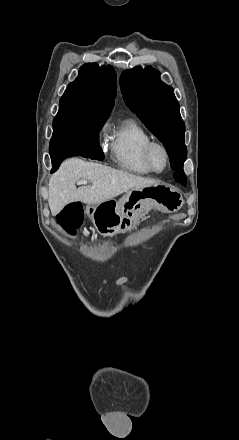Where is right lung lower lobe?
I'll return each mask as SVG.
<instances>
[{
    "mask_svg": "<svg viewBox=\"0 0 239 440\" xmlns=\"http://www.w3.org/2000/svg\"><path fill=\"white\" fill-rule=\"evenodd\" d=\"M72 156H82V157H87V158H91L93 160H103L104 159V154L102 152V149L100 147V145H96V144H86V145H81L78 147H74L71 148L69 150L60 152V153H55L51 155V160H52V164H53V171L57 170L60 163L68 158V157H72Z\"/></svg>",
    "mask_w": 239,
    "mask_h": 440,
    "instance_id": "obj_1",
    "label": "right lung lower lobe"
}]
</instances>
